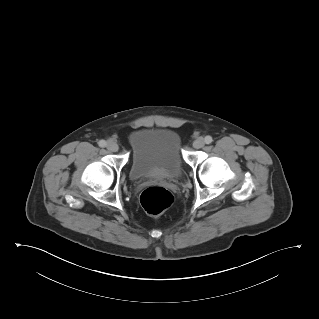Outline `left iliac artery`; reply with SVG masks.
<instances>
[{
  "label": "left iliac artery",
  "mask_w": 319,
  "mask_h": 319,
  "mask_svg": "<svg viewBox=\"0 0 319 319\" xmlns=\"http://www.w3.org/2000/svg\"><path fill=\"white\" fill-rule=\"evenodd\" d=\"M212 141H213V139H212L211 136H206V137H205V143H206V144H210V143H212Z\"/></svg>",
  "instance_id": "obj_1"
}]
</instances>
